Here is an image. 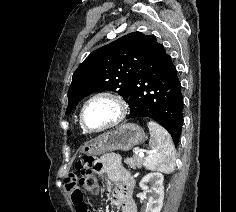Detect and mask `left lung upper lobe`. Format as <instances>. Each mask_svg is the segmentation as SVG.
I'll list each match as a JSON object with an SVG mask.
<instances>
[{
    "mask_svg": "<svg viewBox=\"0 0 236 212\" xmlns=\"http://www.w3.org/2000/svg\"><path fill=\"white\" fill-rule=\"evenodd\" d=\"M150 38L132 32L93 51L73 74L66 114L93 92L114 91L126 100Z\"/></svg>",
    "mask_w": 236,
    "mask_h": 212,
    "instance_id": "obj_1",
    "label": "left lung upper lobe"
}]
</instances>
